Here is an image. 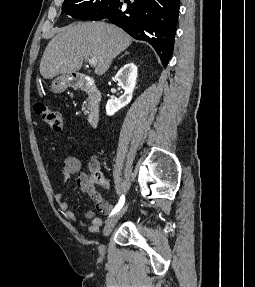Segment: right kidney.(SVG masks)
<instances>
[{
  "label": "right kidney",
  "mask_w": 255,
  "mask_h": 287,
  "mask_svg": "<svg viewBox=\"0 0 255 287\" xmlns=\"http://www.w3.org/2000/svg\"><path fill=\"white\" fill-rule=\"evenodd\" d=\"M137 78V66L135 64H125L115 76V82L120 84L121 88L125 90L123 96H120L118 100H108L106 104L107 116H113L115 112L127 106L132 100L133 90L135 88Z\"/></svg>",
  "instance_id": "right-kidney-1"
}]
</instances>
